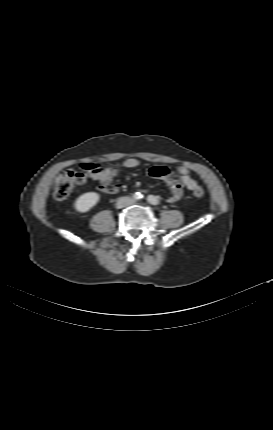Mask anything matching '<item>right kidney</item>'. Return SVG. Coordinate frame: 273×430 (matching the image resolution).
Instances as JSON below:
<instances>
[{
  "instance_id": "obj_1",
  "label": "right kidney",
  "mask_w": 273,
  "mask_h": 430,
  "mask_svg": "<svg viewBox=\"0 0 273 430\" xmlns=\"http://www.w3.org/2000/svg\"><path fill=\"white\" fill-rule=\"evenodd\" d=\"M100 196L96 192H86L76 198L74 209L80 213H86L92 209L98 202Z\"/></svg>"
}]
</instances>
